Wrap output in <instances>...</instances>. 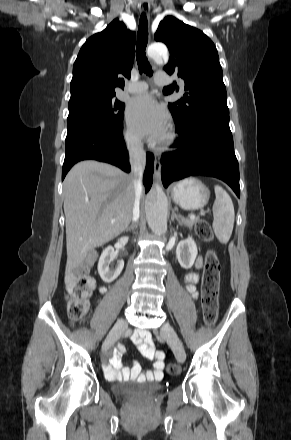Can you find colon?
<instances>
[{
  "label": "colon",
  "mask_w": 291,
  "mask_h": 440,
  "mask_svg": "<svg viewBox=\"0 0 291 440\" xmlns=\"http://www.w3.org/2000/svg\"><path fill=\"white\" fill-rule=\"evenodd\" d=\"M195 234L203 241L210 242L213 234L209 223L200 219L195 224ZM220 283V264L217 253L209 249L206 253V261L202 278V311L203 320L207 326L212 325L217 316L218 293ZM94 281L88 275L78 272L72 274L66 286V296L68 299V315L72 321H78L88 311L90 296L94 290ZM160 354V353H158ZM168 371H176L175 364L168 365Z\"/></svg>",
  "instance_id": "colon-1"
}]
</instances>
